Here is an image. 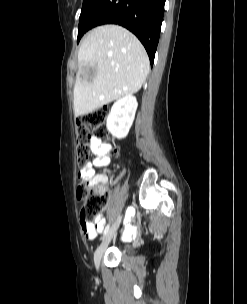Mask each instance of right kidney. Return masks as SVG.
Instances as JSON below:
<instances>
[{
    "instance_id": "right-kidney-1",
    "label": "right kidney",
    "mask_w": 247,
    "mask_h": 304,
    "mask_svg": "<svg viewBox=\"0 0 247 304\" xmlns=\"http://www.w3.org/2000/svg\"><path fill=\"white\" fill-rule=\"evenodd\" d=\"M138 103L133 95H126L118 99L112 106L107 117V130L117 139L128 135L135 118Z\"/></svg>"
}]
</instances>
